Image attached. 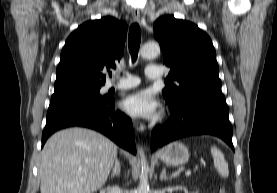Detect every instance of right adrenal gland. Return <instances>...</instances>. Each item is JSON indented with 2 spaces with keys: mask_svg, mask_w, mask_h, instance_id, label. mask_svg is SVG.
Returning <instances> with one entry per match:
<instances>
[{
  "mask_svg": "<svg viewBox=\"0 0 277 193\" xmlns=\"http://www.w3.org/2000/svg\"><path fill=\"white\" fill-rule=\"evenodd\" d=\"M120 171H121L120 161L116 158L115 165L111 174V178H114L115 176L119 177Z\"/></svg>",
  "mask_w": 277,
  "mask_h": 193,
  "instance_id": "obj_1",
  "label": "right adrenal gland"
}]
</instances>
